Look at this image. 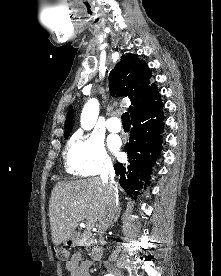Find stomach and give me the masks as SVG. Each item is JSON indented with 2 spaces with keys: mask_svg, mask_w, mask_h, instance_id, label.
<instances>
[{
  "mask_svg": "<svg viewBox=\"0 0 221 276\" xmlns=\"http://www.w3.org/2000/svg\"><path fill=\"white\" fill-rule=\"evenodd\" d=\"M79 241V234L73 232L65 241L64 245L69 247H74L78 244Z\"/></svg>",
  "mask_w": 221,
  "mask_h": 276,
  "instance_id": "stomach-1",
  "label": "stomach"
}]
</instances>
